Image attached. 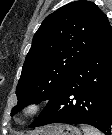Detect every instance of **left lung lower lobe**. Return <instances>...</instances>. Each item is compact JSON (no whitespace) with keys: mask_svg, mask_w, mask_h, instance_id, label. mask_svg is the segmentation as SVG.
<instances>
[{"mask_svg":"<svg viewBox=\"0 0 112 135\" xmlns=\"http://www.w3.org/2000/svg\"><path fill=\"white\" fill-rule=\"evenodd\" d=\"M52 123L89 124L111 135L112 27L49 99L30 127Z\"/></svg>","mask_w":112,"mask_h":135,"instance_id":"left-lung-lower-lobe-1","label":"left lung lower lobe"}]
</instances>
